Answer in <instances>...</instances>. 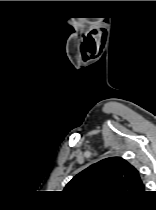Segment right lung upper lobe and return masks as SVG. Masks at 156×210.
Instances as JSON below:
<instances>
[{
    "mask_svg": "<svg viewBox=\"0 0 156 210\" xmlns=\"http://www.w3.org/2000/svg\"><path fill=\"white\" fill-rule=\"evenodd\" d=\"M144 189L134 166L121 157H110L77 174L64 191L88 201L124 202L137 198Z\"/></svg>",
    "mask_w": 156,
    "mask_h": 210,
    "instance_id": "obj_1",
    "label": "right lung upper lobe"
}]
</instances>
